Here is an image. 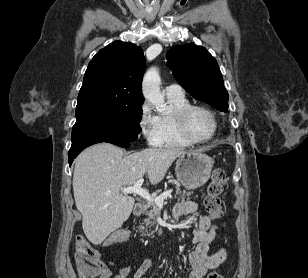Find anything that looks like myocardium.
Wrapping results in <instances>:
<instances>
[{"label": "myocardium", "mask_w": 308, "mask_h": 278, "mask_svg": "<svg viewBox=\"0 0 308 278\" xmlns=\"http://www.w3.org/2000/svg\"><path fill=\"white\" fill-rule=\"evenodd\" d=\"M195 109H199V110H203L204 112H206L212 119L213 121V130L212 133L210 134L209 137L205 138V139H197L195 137H193L188 129H187V125H186V119L187 116L189 115V113ZM173 120L175 123V126L179 132V134L188 142H190L191 144H203V143H207L209 141H211L214 136L217 133L218 130V121L217 118L214 114V112L212 110H210L208 107L204 106V105H200V104H187L183 107H181L180 109L176 110L173 114Z\"/></svg>", "instance_id": "obj_1"}]
</instances>
